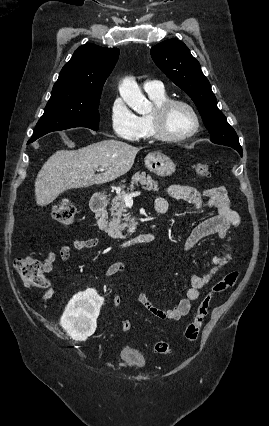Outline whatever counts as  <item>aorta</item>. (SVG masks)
Masks as SVG:
<instances>
[{"instance_id": "obj_1", "label": "aorta", "mask_w": 269, "mask_h": 426, "mask_svg": "<svg viewBox=\"0 0 269 426\" xmlns=\"http://www.w3.org/2000/svg\"><path fill=\"white\" fill-rule=\"evenodd\" d=\"M119 92L123 100L138 114L151 111L152 104L141 92L137 82L132 77H126L119 86Z\"/></svg>"}]
</instances>
